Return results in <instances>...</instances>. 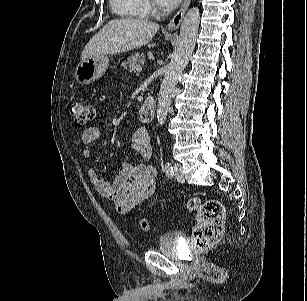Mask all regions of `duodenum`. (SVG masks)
<instances>
[{
    "instance_id": "duodenum-1",
    "label": "duodenum",
    "mask_w": 307,
    "mask_h": 301,
    "mask_svg": "<svg viewBox=\"0 0 307 301\" xmlns=\"http://www.w3.org/2000/svg\"><path fill=\"white\" fill-rule=\"evenodd\" d=\"M156 115V101L148 96L138 110V118L143 122H152Z\"/></svg>"
}]
</instances>
